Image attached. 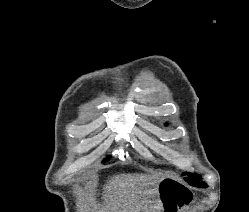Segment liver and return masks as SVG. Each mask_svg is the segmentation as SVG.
I'll use <instances>...</instances> for the list:
<instances>
[{
	"label": "liver",
	"instance_id": "6515ba94",
	"mask_svg": "<svg viewBox=\"0 0 249 212\" xmlns=\"http://www.w3.org/2000/svg\"><path fill=\"white\" fill-rule=\"evenodd\" d=\"M129 180H130V184H133L134 180H133L132 176H130ZM114 182H116V180H114ZM122 184H123V186L125 188L127 182H122Z\"/></svg>",
	"mask_w": 249,
	"mask_h": 212
}]
</instances>
